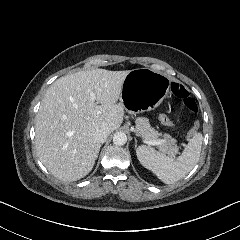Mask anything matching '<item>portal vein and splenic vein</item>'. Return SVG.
Listing matches in <instances>:
<instances>
[{"label":"portal vein and splenic vein","mask_w":240,"mask_h":240,"mask_svg":"<svg viewBox=\"0 0 240 240\" xmlns=\"http://www.w3.org/2000/svg\"><path fill=\"white\" fill-rule=\"evenodd\" d=\"M91 101H95L96 95L93 91H90L89 93ZM144 143L149 144V145H160L162 143V140H151V141H144Z\"/></svg>","instance_id":"1"}]
</instances>
